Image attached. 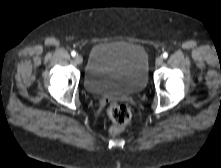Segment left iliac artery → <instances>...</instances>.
<instances>
[{
  "instance_id": "obj_1",
  "label": "left iliac artery",
  "mask_w": 221,
  "mask_h": 168,
  "mask_svg": "<svg viewBox=\"0 0 221 168\" xmlns=\"http://www.w3.org/2000/svg\"><path fill=\"white\" fill-rule=\"evenodd\" d=\"M167 57H168V53H167V52H164V53H163V58L166 59Z\"/></svg>"
}]
</instances>
